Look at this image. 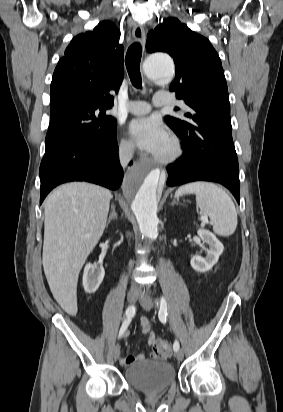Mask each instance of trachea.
I'll list each match as a JSON object with an SVG mask.
<instances>
[{"instance_id": "obj_1", "label": "trachea", "mask_w": 283, "mask_h": 412, "mask_svg": "<svg viewBox=\"0 0 283 412\" xmlns=\"http://www.w3.org/2000/svg\"><path fill=\"white\" fill-rule=\"evenodd\" d=\"M142 55V48L140 43H133L126 54L125 64L131 80L135 88H142V79L140 73V61Z\"/></svg>"}]
</instances>
